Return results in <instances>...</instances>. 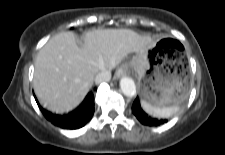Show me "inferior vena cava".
I'll use <instances>...</instances> for the list:
<instances>
[{
    "label": "inferior vena cava",
    "instance_id": "602c4592",
    "mask_svg": "<svg viewBox=\"0 0 225 155\" xmlns=\"http://www.w3.org/2000/svg\"><path fill=\"white\" fill-rule=\"evenodd\" d=\"M110 79H111V71L107 69L100 71L94 78L96 84L108 82L110 81Z\"/></svg>",
    "mask_w": 225,
    "mask_h": 155
}]
</instances>
